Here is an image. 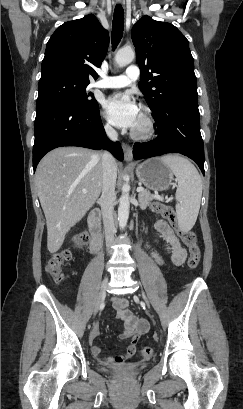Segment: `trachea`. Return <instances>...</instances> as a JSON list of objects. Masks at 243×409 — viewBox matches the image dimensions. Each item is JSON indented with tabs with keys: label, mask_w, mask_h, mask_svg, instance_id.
Listing matches in <instances>:
<instances>
[{
	"label": "trachea",
	"mask_w": 243,
	"mask_h": 409,
	"mask_svg": "<svg viewBox=\"0 0 243 409\" xmlns=\"http://www.w3.org/2000/svg\"><path fill=\"white\" fill-rule=\"evenodd\" d=\"M124 30V10L120 4H117L114 10L112 23V48L117 47L123 36Z\"/></svg>",
	"instance_id": "1"
}]
</instances>
